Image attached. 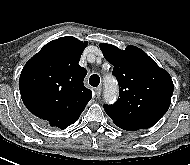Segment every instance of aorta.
<instances>
[{
  "label": "aorta",
  "instance_id": "aorta-1",
  "mask_svg": "<svg viewBox=\"0 0 190 165\" xmlns=\"http://www.w3.org/2000/svg\"><path fill=\"white\" fill-rule=\"evenodd\" d=\"M117 95V86L116 84H108L105 92V99L108 102H112Z\"/></svg>",
  "mask_w": 190,
  "mask_h": 165
}]
</instances>
